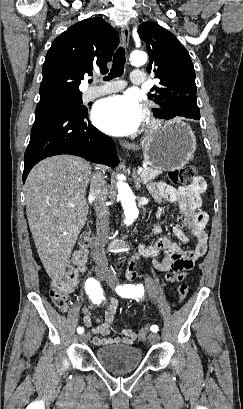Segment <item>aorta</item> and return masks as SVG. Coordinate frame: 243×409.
<instances>
[{"instance_id":"762f6f07","label":"aorta","mask_w":243,"mask_h":409,"mask_svg":"<svg viewBox=\"0 0 243 409\" xmlns=\"http://www.w3.org/2000/svg\"><path fill=\"white\" fill-rule=\"evenodd\" d=\"M147 61V55L141 51H134L131 54V62L136 66H141ZM118 197L121 200V204L124 210L125 220L124 223L129 226L138 217L139 211L135 202V197L128 184L122 181V177H119L117 183Z\"/></svg>"}]
</instances>
